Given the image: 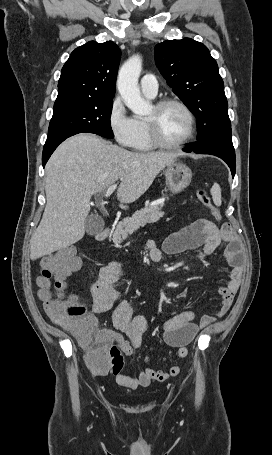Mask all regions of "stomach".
Segmentation results:
<instances>
[{
  "mask_svg": "<svg viewBox=\"0 0 272 455\" xmlns=\"http://www.w3.org/2000/svg\"><path fill=\"white\" fill-rule=\"evenodd\" d=\"M166 185L173 193L183 191L191 182L192 172L186 165L173 161L165 170Z\"/></svg>",
  "mask_w": 272,
  "mask_h": 455,
  "instance_id": "0dacf381",
  "label": "stomach"
}]
</instances>
